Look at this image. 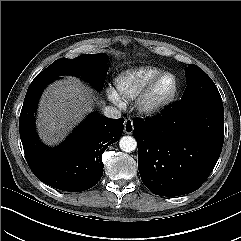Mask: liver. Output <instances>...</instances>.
<instances>
[{
  "label": "liver",
  "mask_w": 241,
  "mask_h": 241,
  "mask_svg": "<svg viewBox=\"0 0 241 241\" xmlns=\"http://www.w3.org/2000/svg\"><path fill=\"white\" fill-rule=\"evenodd\" d=\"M95 100L93 90L76 78L50 85L38 109L37 127L42 140L48 145L62 141L93 110Z\"/></svg>",
  "instance_id": "liver-1"
}]
</instances>
